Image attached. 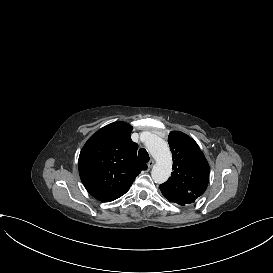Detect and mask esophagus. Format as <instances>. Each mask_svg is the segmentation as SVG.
I'll use <instances>...</instances> for the list:
<instances>
[{"label":"esophagus","instance_id":"34e87169","mask_svg":"<svg viewBox=\"0 0 273 273\" xmlns=\"http://www.w3.org/2000/svg\"><path fill=\"white\" fill-rule=\"evenodd\" d=\"M154 163H155L154 159H150L148 162V168H152Z\"/></svg>","mask_w":273,"mask_h":273}]
</instances>
